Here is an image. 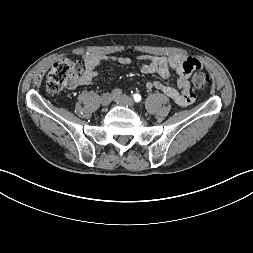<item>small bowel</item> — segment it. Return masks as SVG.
<instances>
[{
  "mask_svg": "<svg viewBox=\"0 0 253 253\" xmlns=\"http://www.w3.org/2000/svg\"><path fill=\"white\" fill-rule=\"evenodd\" d=\"M143 63L140 65V71L145 74L157 73L162 78H168L171 71H175L178 75L177 90L174 87L166 85L161 81H148L145 84L147 90H159L177 104L184 107H191L196 101L195 93L190 90L189 76L192 72V68L189 67L188 62L190 60L175 54L170 57L166 56H150L141 55L138 57ZM104 62H116L121 65H129L131 59L126 56L114 57L108 55L92 54L85 58V71L74 82V86H84L92 83L96 77V67Z\"/></svg>",
  "mask_w": 253,
  "mask_h": 253,
  "instance_id": "small-bowel-1",
  "label": "small bowel"
}]
</instances>
